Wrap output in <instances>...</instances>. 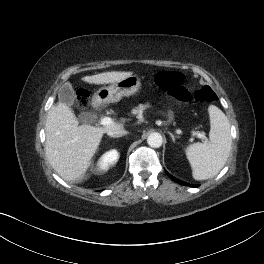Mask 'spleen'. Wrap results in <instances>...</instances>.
I'll use <instances>...</instances> for the list:
<instances>
[{"label":"spleen","mask_w":264,"mask_h":264,"mask_svg":"<svg viewBox=\"0 0 264 264\" xmlns=\"http://www.w3.org/2000/svg\"><path fill=\"white\" fill-rule=\"evenodd\" d=\"M208 112L210 140L190 144L185 149L195 180H206L216 176L225 165L231 151L232 137L228 118L214 105L209 106Z\"/></svg>","instance_id":"obj_1"}]
</instances>
